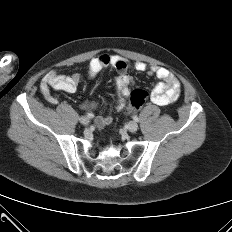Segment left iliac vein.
Instances as JSON below:
<instances>
[{
	"label": "left iliac vein",
	"instance_id": "1",
	"mask_svg": "<svg viewBox=\"0 0 232 232\" xmlns=\"http://www.w3.org/2000/svg\"><path fill=\"white\" fill-rule=\"evenodd\" d=\"M128 130L130 132H136L138 130V124L136 122H129L128 124Z\"/></svg>",
	"mask_w": 232,
	"mask_h": 232
}]
</instances>
